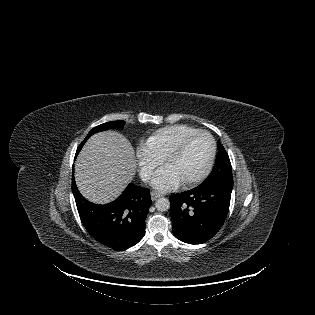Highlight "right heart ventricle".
Wrapping results in <instances>:
<instances>
[{
    "instance_id": "e07e8e85",
    "label": "right heart ventricle",
    "mask_w": 315,
    "mask_h": 315,
    "mask_svg": "<svg viewBox=\"0 0 315 315\" xmlns=\"http://www.w3.org/2000/svg\"><path fill=\"white\" fill-rule=\"evenodd\" d=\"M192 126L174 124L154 131L146 140V145L156 157L163 160L166 154L189 133L196 131Z\"/></svg>"
}]
</instances>
